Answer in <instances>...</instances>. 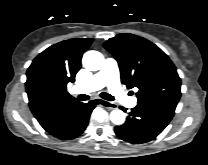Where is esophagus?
Wrapping results in <instances>:
<instances>
[{"mask_svg":"<svg viewBox=\"0 0 208 165\" xmlns=\"http://www.w3.org/2000/svg\"><path fill=\"white\" fill-rule=\"evenodd\" d=\"M95 103H97L98 105H100L102 107L108 108V109H115L117 107L115 103L106 101L101 98H96Z\"/></svg>","mask_w":208,"mask_h":165,"instance_id":"34e87169","label":"esophagus"}]
</instances>
